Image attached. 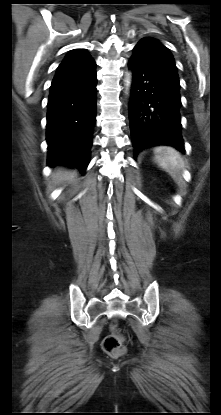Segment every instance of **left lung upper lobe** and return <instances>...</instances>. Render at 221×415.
I'll use <instances>...</instances> for the list:
<instances>
[{
    "label": "left lung upper lobe",
    "mask_w": 221,
    "mask_h": 415,
    "mask_svg": "<svg viewBox=\"0 0 221 415\" xmlns=\"http://www.w3.org/2000/svg\"><path fill=\"white\" fill-rule=\"evenodd\" d=\"M133 51V58L147 62L179 81L177 67L172 54L156 39L143 38Z\"/></svg>",
    "instance_id": "5c2ea615"
}]
</instances>
